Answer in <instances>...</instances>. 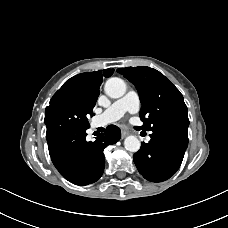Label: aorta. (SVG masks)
Returning <instances> with one entry per match:
<instances>
[{
  "instance_id": "1",
  "label": "aorta",
  "mask_w": 228,
  "mask_h": 228,
  "mask_svg": "<svg viewBox=\"0 0 228 228\" xmlns=\"http://www.w3.org/2000/svg\"><path fill=\"white\" fill-rule=\"evenodd\" d=\"M104 90L109 97L120 98L126 92V84L122 79L113 77L106 81ZM124 146L130 152H137L140 149L141 143L136 136L131 135L124 140Z\"/></svg>"
}]
</instances>
